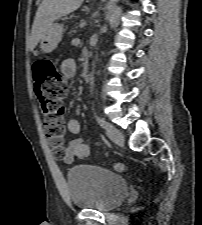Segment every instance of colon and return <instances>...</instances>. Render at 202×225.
Segmentation results:
<instances>
[{
    "mask_svg": "<svg viewBox=\"0 0 202 225\" xmlns=\"http://www.w3.org/2000/svg\"><path fill=\"white\" fill-rule=\"evenodd\" d=\"M32 73L49 145L55 155L61 157L66 152L67 129L64 124L63 103L68 92V83L59 72L57 64L46 58L33 63ZM115 169L124 171L126 165L116 164Z\"/></svg>",
    "mask_w": 202,
    "mask_h": 225,
    "instance_id": "colon-1",
    "label": "colon"
}]
</instances>
